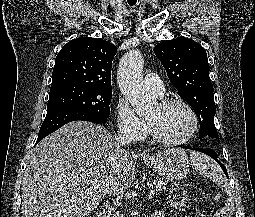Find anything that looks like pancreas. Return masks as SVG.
<instances>
[{
  "label": "pancreas",
  "mask_w": 255,
  "mask_h": 217,
  "mask_svg": "<svg viewBox=\"0 0 255 217\" xmlns=\"http://www.w3.org/2000/svg\"><path fill=\"white\" fill-rule=\"evenodd\" d=\"M168 184V181H164V180H154V185L157 191L159 190H163L166 188V185ZM114 217H124L123 214H120L119 212H116L114 214Z\"/></svg>",
  "instance_id": "obj_1"
}]
</instances>
